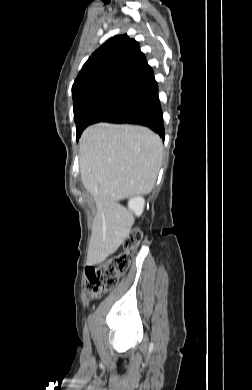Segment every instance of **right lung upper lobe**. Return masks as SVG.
<instances>
[{
	"instance_id": "right-lung-upper-lobe-1",
	"label": "right lung upper lobe",
	"mask_w": 252,
	"mask_h": 390,
	"mask_svg": "<svg viewBox=\"0 0 252 390\" xmlns=\"http://www.w3.org/2000/svg\"><path fill=\"white\" fill-rule=\"evenodd\" d=\"M157 88L152 68L138 42L119 35L97 49L72 86L74 110L103 98L139 100Z\"/></svg>"
}]
</instances>
